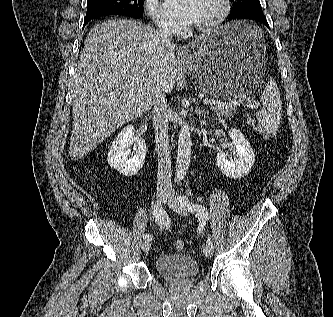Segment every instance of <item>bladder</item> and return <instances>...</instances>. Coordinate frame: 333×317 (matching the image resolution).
<instances>
[{"mask_svg": "<svg viewBox=\"0 0 333 317\" xmlns=\"http://www.w3.org/2000/svg\"><path fill=\"white\" fill-rule=\"evenodd\" d=\"M156 273L170 282H188L199 273L197 261L187 254L169 253L159 255L154 262Z\"/></svg>", "mask_w": 333, "mask_h": 317, "instance_id": "obj_1", "label": "bladder"}]
</instances>
